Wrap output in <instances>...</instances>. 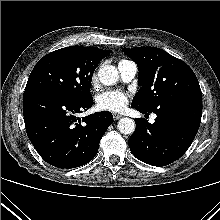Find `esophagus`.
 Segmentation results:
<instances>
[{"label":"esophagus","instance_id":"34e87169","mask_svg":"<svg viewBox=\"0 0 220 220\" xmlns=\"http://www.w3.org/2000/svg\"><path fill=\"white\" fill-rule=\"evenodd\" d=\"M121 117H122V116H121L120 114H116V113L113 114L114 120H118V119H120Z\"/></svg>","mask_w":220,"mask_h":220}]
</instances>
